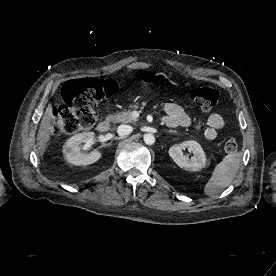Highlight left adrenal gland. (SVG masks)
Segmentation results:
<instances>
[{
  "instance_id": "obj_1",
  "label": "left adrenal gland",
  "mask_w": 276,
  "mask_h": 276,
  "mask_svg": "<svg viewBox=\"0 0 276 276\" xmlns=\"http://www.w3.org/2000/svg\"><path fill=\"white\" fill-rule=\"evenodd\" d=\"M168 133H176L174 130H169Z\"/></svg>"
}]
</instances>
